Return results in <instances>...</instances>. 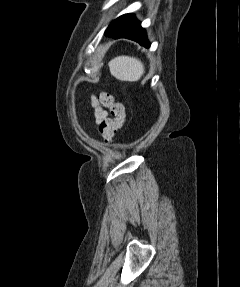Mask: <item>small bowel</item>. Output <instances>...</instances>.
Masks as SVG:
<instances>
[{"label":"small bowel","instance_id":"c3829d8e","mask_svg":"<svg viewBox=\"0 0 240 287\" xmlns=\"http://www.w3.org/2000/svg\"><path fill=\"white\" fill-rule=\"evenodd\" d=\"M90 105L93 110L94 120L100 127V125L107 119L108 112L106 108L99 103L96 96H91Z\"/></svg>","mask_w":240,"mask_h":287}]
</instances>
